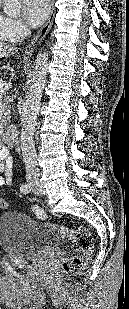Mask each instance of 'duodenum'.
Returning <instances> with one entry per match:
<instances>
[{"label":"duodenum","instance_id":"1","mask_svg":"<svg viewBox=\"0 0 129 309\" xmlns=\"http://www.w3.org/2000/svg\"><path fill=\"white\" fill-rule=\"evenodd\" d=\"M17 137H18L17 127L14 125L7 126L3 134V140L6 146L8 147L14 146L17 142Z\"/></svg>","mask_w":129,"mask_h":309}]
</instances>
